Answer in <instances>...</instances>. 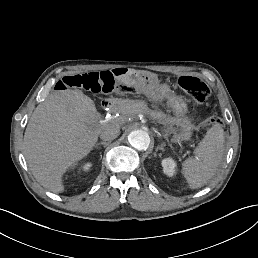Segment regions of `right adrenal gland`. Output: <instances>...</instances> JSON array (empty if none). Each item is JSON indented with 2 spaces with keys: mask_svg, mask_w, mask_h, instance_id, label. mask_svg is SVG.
Here are the masks:
<instances>
[{
  "mask_svg": "<svg viewBox=\"0 0 258 258\" xmlns=\"http://www.w3.org/2000/svg\"><path fill=\"white\" fill-rule=\"evenodd\" d=\"M101 144L104 145L105 147L108 146V143L105 141L98 142L97 144H95V146L101 145Z\"/></svg>",
  "mask_w": 258,
  "mask_h": 258,
  "instance_id": "1",
  "label": "right adrenal gland"
}]
</instances>
